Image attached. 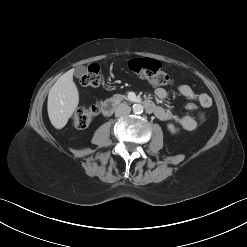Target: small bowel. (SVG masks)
I'll list each match as a JSON object with an SVG mask.
<instances>
[{
    "mask_svg": "<svg viewBox=\"0 0 247 247\" xmlns=\"http://www.w3.org/2000/svg\"><path fill=\"white\" fill-rule=\"evenodd\" d=\"M179 93L187 99L194 100L203 108H208L212 104L211 97L206 93H196L193 88L187 84H182L178 87ZM155 95L158 99H165L168 96L164 88H156ZM155 116L162 121H173L186 131H192L197 128L202 116L194 118L189 115L177 116L170 110L162 106H156L153 112Z\"/></svg>",
    "mask_w": 247,
    "mask_h": 247,
    "instance_id": "c3829d8e",
    "label": "small bowel"
}]
</instances>
